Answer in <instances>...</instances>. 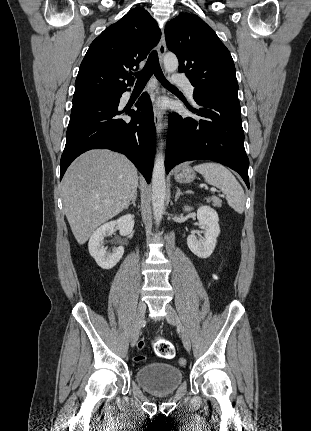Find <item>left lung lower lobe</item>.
<instances>
[{
  "instance_id": "0a47b994",
  "label": "left lung lower lobe",
  "mask_w": 311,
  "mask_h": 431,
  "mask_svg": "<svg viewBox=\"0 0 311 431\" xmlns=\"http://www.w3.org/2000/svg\"><path fill=\"white\" fill-rule=\"evenodd\" d=\"M194 99L200 108L189 110L202 119L169 115L166 173L184 161L213 160L238 172L249 188L238 95L211 94Z\"/></svg>"
}]
</instances>
